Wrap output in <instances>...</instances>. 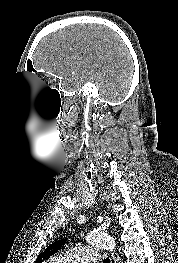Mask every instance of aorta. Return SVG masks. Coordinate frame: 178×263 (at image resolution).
Returning a JSON list of instances; mask_svg holds the SVG:
<instances>
[{
    "label": "aorta",
    "instance_id": "obj_1",
    "mask_svg": "<svg viewBox=\"0 0 178 263\" xmlns=\"http://www.w3.org/2000/svg\"><path fill=\"white\" fill-rule=\"evenodd\" d=\"M86 241L92 245L104 249L113 250L115 247L114 239L110 235L104 232H98V231L90 232L86 236Z\"/></svg>",
    "mask_w": 178,
    "mask_h": 263
}]
</instances>
